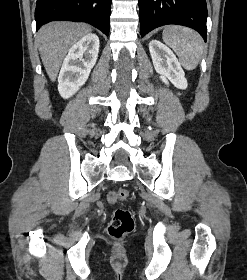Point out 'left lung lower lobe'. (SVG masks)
Instances as JSON below:
<instances>
[{"instance_id": "left-lung-lower-lobe-1", "label": "left lung lower lobe", "mask_w": 247, "mask_h": 280, "mask_svg": "<svg viewBox=\"0 0 247 280\" xmlns=\"http://www.w3.org/2000/svg\"><path fill=\"white\" fill-rule=\"evenodd\" d=\"M141 36L167 24L195 29L206 41L207 6L205 0H139Z\"/></svg>"}]
</instances>
